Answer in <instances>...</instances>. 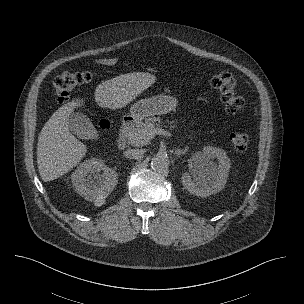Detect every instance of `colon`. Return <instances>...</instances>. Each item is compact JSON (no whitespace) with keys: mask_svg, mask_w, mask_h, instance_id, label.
Returning <instances> with one entry per match:
<instances>
[{"mask_svg":"<svg viewBox=\"0 0 304 304\" xmlns=\"http://www.w3.org/2000/svg\"><path fill=\"white\" fill-rule=\"evenodd\" d=\"M91 71H66L56 78L53 84V94L60 104L69 100L71 92L78 86L86 84L93 79ZM211 85L221 96L226 112L234 114L244 106V98L237 92L236 81L232 74L223 70L211 78ZM102 128H108L109 123L102 121ZM230 142L235 150L243 152L248 148L249 137L242 132L230 134Z\"/></svg>","mask_w":304,"mask_h":304,"instance_id":"colon-1","label":"colon"}]
</instances>
